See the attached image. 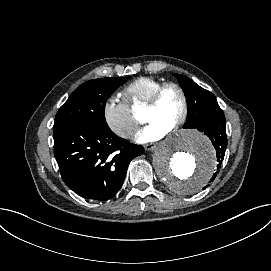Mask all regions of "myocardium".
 Instances as JSON below:
<instances>
[{
	"label": "myocardium",
	"instance_id": "obj_1",
	"mask_svg": "<svg viewBox=\"0 0 271 271\" xmlns=\"http://www.w3.org/2000/svg\"><path fill=\"white\" fill-rule=\"evenodd\" d=\"M170 87L177 88L180 91L182 98H183V102H184L183 112H182L181 116L175 121V123L171 129V131H174V130L179 129L182 125H184L187 122L189 115H190V110H191L189 94H188L186 88L181 83L176 82V81L163 82L153 93L150 102L146 105V109L158 108L160 106L161 98H162L164 92Z\"/></svg>",
	"mask_w": 271,
	"mask_h": 271
}]
</instances>
